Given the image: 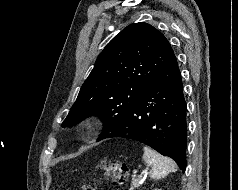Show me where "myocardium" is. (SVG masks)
<instances>
[{"instance_id":"myocardium-1","label":"myocardium","mask_w":238,"mask_h":190,"mask_svg":"<svg viewBox=\"0 0 238 190\" xmlns=\"http://www.w3.org/2000/svg\"><path fill=\"white\" fill-rule=\"evenodd\" d=\"M97 120L94 118H87L82 122V128L86 131H91L97 126Z\"/></svg>"}]
</instances>
